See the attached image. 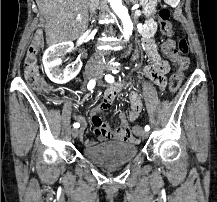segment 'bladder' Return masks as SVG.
<instances>
[{
  "label": "bladder",
  "mask_w": 217,
  "mask_h": 202,
  "mask_svg": "<svg viewBox=\"0 0 217 202\" xmlns=\"http://www.w3.org/2000/svg\"><path fill=\"white\" fill-rule=\"evenodd\" d=\"M86 158L104 166L128 163L138 155L137 145L125 142H107L84 148Z\"/></svg>",
  "instance_id": "1"
}]
</instances>
